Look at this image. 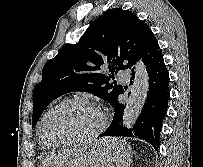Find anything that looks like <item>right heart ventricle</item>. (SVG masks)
<instances>
[{
  "instance_id": "right-heart-ventricle-1",
  "label": "right heart ventricle",
  "mask_w": 203,
  "mask_h": 167,
  "mask_svg": "<svg viewBox=\"0 0 203 167\" xmlns=\"http://www.w3.org/2000/svg\"><path fill=\"white\" fill-rule=\"evenodd\" d=\"M40 142H41V144H42L43 146H45V147H47V148H52V147H54V146H51V145H48V144H44V143L41 141V139H40Z\"/></svg>"
}]
</instances>
